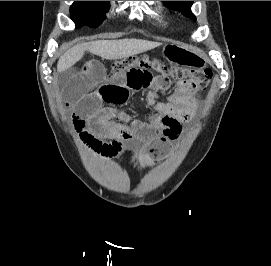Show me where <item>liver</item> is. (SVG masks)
<instances>
[{
  "instance_id": "obj_1",
  "label": "liver",
  "mask_w": 271,
  "mask_h": 266,
  "mask_svg": "<svg viewBox=\"0 0 271 266\" xmlns=\"http://www.w3.org/2000/svg\"><path fill=\"white\" fill-rule=\"evenodd\" d=\"M159 45L161 44L158 42L139 39L102 40L79 44L61 56L57 63V71L64 72V67H72L83 57L86 50L103 59L115 60L146 52Z\"/></svg>"
}]
</instances>
